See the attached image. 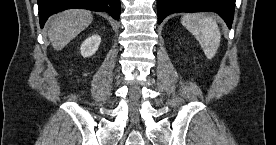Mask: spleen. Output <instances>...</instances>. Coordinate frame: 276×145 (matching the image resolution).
I'll return each mask as SVG.
<instances>
[{
    "label": "spleen",
    "mask_w": 276,
    "mask_h": 145,
    "mask_svg": "<svg viewBox=\"0 0 276 145\" xmlns=\"http://www.w3.org/2000/svg\"><path fill=\"white\" fill-rule=\"evenodd\" d=\"M181 23L195 36L206 57L212 59L220 45L221 34L216 21L203 14H187Z\"/></svg>",
    "instance_id": "3e777b00"
}]
</instances>
